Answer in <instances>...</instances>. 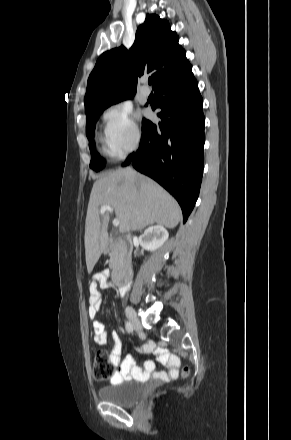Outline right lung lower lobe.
I'll list each match as a JSON object with an SVG mask.
<instances>
[{"instance_id":"98d812e1","label":"right lung lower lobe","mask_w":291,"mask_h":440,"mask_svg":"<svg viewBox=\"0 0 291 440\" xmlns=\"http://www.w3.org/2000/svg\"><path fill=\"white\" fill-rule=\"evenodd\" d=\"M190 65L162 81L156 88L158 125L142 121V137L133 162L139 172L148 175L178 201L185 223L199 195L204 157L203 100Z\"/></svg>"}]
</instances>
